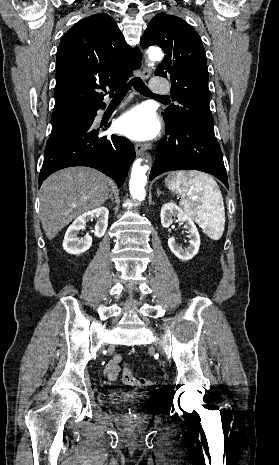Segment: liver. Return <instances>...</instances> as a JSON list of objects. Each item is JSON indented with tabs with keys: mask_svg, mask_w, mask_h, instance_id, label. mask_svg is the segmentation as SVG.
Masks as SVG:
<instances>
[{
	"mask_svg": "<svg viewBox=\"0 0 279 465\" xmlns=\"http://www.w3.org/2000/svg\"><path fill=\"white\" fill-rule=\"evenodd\" d=\"M109 192V178L89 167L50 175L40 188V220L47 238L52 240L77 216L102 206Z\"/></svg>",
	"mask_w": 279,
	"mask_h": 465,
	"instance_id": "1",
	"label": "liver"
}]
</instances>
